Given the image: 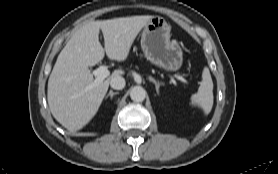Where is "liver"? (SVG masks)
Segmentation results:
<instances>
[{
    "label": "liver",
    "instance_id": "1",
    "mask_svg": "<svg viewBox=\"0 0 278 174\" xmlns=\"http://www.w3.org/2000/svg\"><path fill=\"white\" fill-rule=\"evenodd\" d=\"M153 16L141 15L90 21L80 27L62 49L48 80L47 99L53 117L71 132L82 129L97 113L115 76L114 70L98 86L89 67L98 64L105 55L111 60L124 61L138 33ZM104 48L99 42V31Z\"/></svg>",
    "mask_w": 278,
    "mask_h": 174
}]
</instances>
